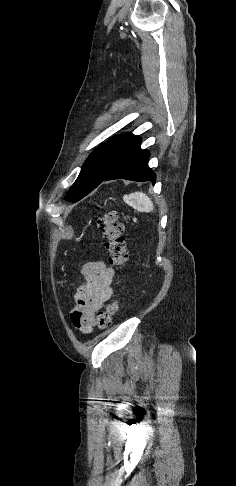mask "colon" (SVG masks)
<instances>
[{
    "label": "colon",
    "mask_w": 236,
    "mask_h": 486,
    "mask_svg": "<svg viewBox=\"0 0 236 486\" xmlns=\"http://www.w3.org/2000/svg\"><path fill=\"white\" fill-rule=\"evenodd\" d=\"M97 225L105 240L109 263L121 270L128 260V250L124 237L123 224L118 220L116 211H108L97 219ZM120 308L118 300H114L103 311L98 312L96 324L99 329H106L111 326L114 316Z\"/></svg>",
    "instance_id": "colon-1"
}]
</instances>
